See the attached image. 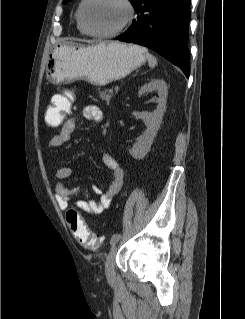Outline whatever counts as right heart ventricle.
<instances>
[{
	"instance_id": "1",
	"label": "right heart ventricle",
	"mask_w": 245,
	"mask_h": 319,
	"mask_svg": "<svg viewBox=\"0 0 245 319\" xmlns=\"http://www.w3.org/2000/svg\"><path fill=\"white\" fill-rule=\"evenodd\" d=\"M82 4H83V0L80 2L79 6L77 8V11H76V22H77V28H78L79 32L82 34H86L82 25H81V22H80V9H81Z\"/></svg>"
}]
</instances>
